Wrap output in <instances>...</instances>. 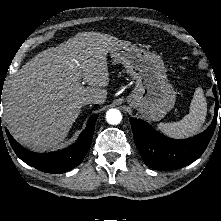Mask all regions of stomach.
Instances as JSON below:
<instances>
[{
  "instance_id": "obj_1",
  "label": "stomach",
  "mask_w": 221,
  "mask_h": 221,
  "mask_svg": "<svg viewBox=\"0 0 221 221\" xmlns=\"http://www.w3.org/2000/svg\"><path fill=\"white\" fill-rule=\"evenodd\" d=\"M110 56L135 80V88L127 97L130 107L150 121L162 119L174 107L176 94L159 55L128 41H117Z\"/></svg>"
}]
</instances>
